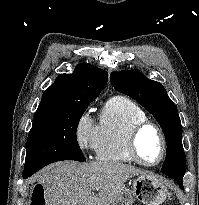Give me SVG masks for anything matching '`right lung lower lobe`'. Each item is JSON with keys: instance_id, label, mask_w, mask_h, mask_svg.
Here are the masks:
<instances>
[{"instance_id": "right-lung-lower-lobe-1", "label": "right lung lower lobe", "mask_w": 199, "mask_h": 205, "mask_svg": "<svg viewBox=\"0 0 199 205\" xmlns=\"http://www.w3.org/2000/svg\"><path fill=\"white\" fill-rule=\"evenodd\" d=\"M28 177H30L29 175H25V176H23V178H28Z\"/></svg>"}]
</instances>
